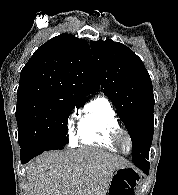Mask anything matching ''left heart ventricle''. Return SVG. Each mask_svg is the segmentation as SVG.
<instances>
[{"label":"left heart ventricle","mask_w":178,"mask_h":195,"mask_svg":"<svg viewBox=\"0 0 178 195\" xmlns=\"http://www.w3.org/2000/svg\"><path fill=\"white\" fill-rule=\"evenodd\" d=\"M122 147L125 151L129 150V142L126 138H124L123 141H122Z\"/></svg>","instance_id":"left-heart-ventricle-1"}]
</instances>
